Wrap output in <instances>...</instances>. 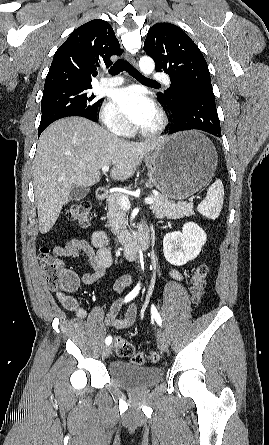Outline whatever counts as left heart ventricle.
I'll list each match as a JSON object with an SVG mask.
<instances>
[{"label":"left heart ventricle","mask_w":269,"mask_h":445,"mask_svg":"<svg viewBox=\"0 0 269 445\" xmlns=\"http://www.w3.org/2000/svg\"><path fill=\"white\" fill-rule=\"evenodd\" d=\"M157 118H155L151 123H149L146 127H144L143 129H149L151 127H153L156 123Z\"/></svg>","instance_id":"left-heart-ventricle-1"}]
</instances>
